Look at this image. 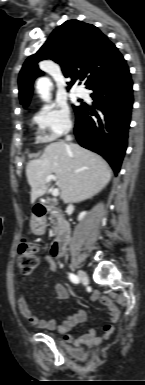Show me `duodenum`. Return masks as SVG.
I'll list each match as a JSON object with an SVG mask.
<instances>
[{
  "label": "duodenum",
  "mask_w": 145,
  "mask_h": 385,
  "mask_svg": "<svg viewBox=\"0 0 145 385\" xmlns=\"http://www.w3.org/2000/svg\"><path fill=\"white\" fill-rule=\"evenodd\" d=\"M50 211L57 213V211L54 210L53 207L48 204H44V203L37 204L34 210V215H35L34 224L36 228L39 230V233L44 232L45 225H46L44 220L48 212ZM70 236H71L70 225L67 221L62 219L59 223L58 234L51 245V253L54 256H60L64 252L70 240Z\"/></svg>",
  "instance_id": "1"
}]
</instances>
